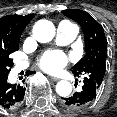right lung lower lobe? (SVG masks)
Instances as JSON below:
<instances>
[{"label":"right lung lower lobe","instance_id":"right-lung-lower-lobe-1","mask_svg":"<svg viewBox=\"0 0 117 117\" xmlns=\"http://www.w3.org/2000/svg\"><path fill=\"white\" fill-rule=\"evenodd\" d=\"M8 75L0 77V106L14 109L20 106L25 95V87L7 82Z\"/></svg>","mask_w":117,"mask_h":117}]
</instances>
